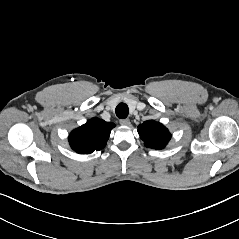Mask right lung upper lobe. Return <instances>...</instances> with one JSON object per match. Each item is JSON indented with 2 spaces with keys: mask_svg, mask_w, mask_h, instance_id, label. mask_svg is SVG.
I'll return each instance as SVG.
<instances>
[{
  "mask_svg": "<svg viewBox=\"0 0 239 239\" xmlns=\"http://www.w3.org/2000/svg\"><path fill=\"white\" fill-rule=\"evenodd\" d=\"M114 123L92 118L69 135L71 148L79 154H89L105 147Z\"/></svg>",
  "mask_w": 239,
  "mask_h": 239,
  "instance_id": "right-lung-upper-lobe-1",
  "label": "right lung upper lobe"
}]
</instances>
